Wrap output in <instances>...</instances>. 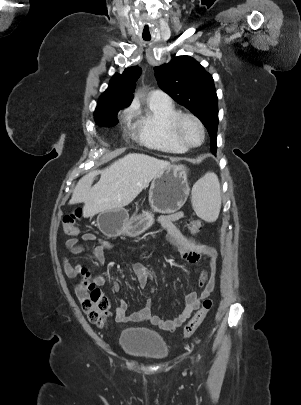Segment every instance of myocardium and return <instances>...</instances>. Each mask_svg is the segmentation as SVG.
Returning <instances> with one entry per match:
<instances>
[{"mask_svg": "<svg viewBox=\"0 0 301 405\" xmlns=\"http://www.w3.org/2000/svg\"><path fill=\"white\" fill-rule=\"evenodd\" d=\"M186 119H191V120H193V121L199 126V128H200V130H201L202 139H201V142L198 143V144H196V145L190 144V143L184 138V136H183V134H182V130H181V128H182V123H183V121L186 120ZM171 129H172V132H173V134L175 135V137H176L185 147H187V148H197V147H200V146L204 143V141H205V137H206L205 126H204V124L202 123V121H201L196 115H194V114H192V113H179V114H177V115L174 117L173 121H172Z\"/></svg>", "mask_w": 301, "mask_h": 405, "instance_id": "f54148a6", "label": "myocardium"}]
</instances>
